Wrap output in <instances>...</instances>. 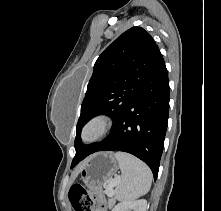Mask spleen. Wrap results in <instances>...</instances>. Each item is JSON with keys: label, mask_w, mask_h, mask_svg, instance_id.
<instances>
[{"label": "spleen", "mask_w": 221, "mask_h": 211, "mask_svg": "<svg viewBox=\"0 0 221 211\" xmlns=\"http://www.w3.org/2000/svg\"><path fill=\"white\" fill-rule=\"evenodd\" d=\"M114 157L122 173L115 189V198L129 201L147 194L153 178L150 168L144 162L124 152H116Z\"/></svg>", "instance_id": "obj_1"}]
</instances>
